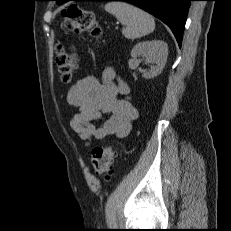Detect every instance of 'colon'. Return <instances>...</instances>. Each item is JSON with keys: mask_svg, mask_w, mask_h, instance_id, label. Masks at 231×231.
Wrapping results in <instances>:
<instances>
[{"mask_svg": "<svg viewBox=\"0 0 231 231\" xmlns=\"http://www.w3.org/2000/svg\"><path fill=\"white\" fill-rule=\"evenodd\" d=\"M62 15L64 26L68 31L74 33H89L94 37H100L101 27L98 25L95 16L78 4L66 6ZM56 63L61 79L69 83L78 67V58L75 53L64 46L58 47L56 53ZM115 149L112 146L95 147L91 153V163L97 175L107 174L113 164Z\"/></svg>", "mask_w": 231, "mask_h": 231, "instance_id": "1", "label": "colon"}]
</instances>
